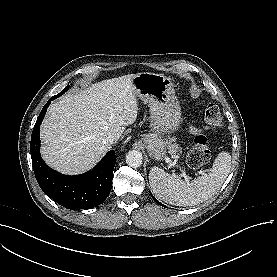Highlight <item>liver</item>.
I'll return each mask as SVG.
<instances>
[{
    "label": "liver",
    "mask_w": 277,
    "mask_h": 277,
    "mask_svg": "<svg viewBox=\"0 0 277 277\" xmlns=\"http://www.w3.org/2000/svg\"><path fill=\"white\" fill-rule=\"evenodd\" d=\"M135 74L103 80L53 102L40 127L41 155L64 174L83 173L110 150V134L119 137L137 119Z\"/></svg>",
    "instance_id": "6515ba94"
}]
</instances>
